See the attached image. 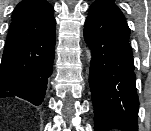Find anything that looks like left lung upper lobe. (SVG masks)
<instances>
[{
	"label": "left lung upper lobe",
	"instance_id": "obj_1",
	"mask_svg": "<svg viewBox=\"0 0 151 131\" xmlns=\"http://www.w3.org/2000/svg\"><path fill=\"white\" fill-rule=\"evenodd\" d=\"M103 3H111V4H115L113 1L111 0H96L91 6L95 5V4H103Z\"/></svg>",
	"mask_w": 151,
	"mask_h": 131
}]
</instances>
